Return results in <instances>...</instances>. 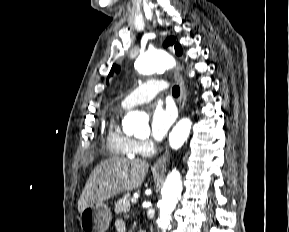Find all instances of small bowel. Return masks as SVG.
<instances>
[{
	"label": "small bowel",
	"instance_id": "c3829d8e",
	"mask_svg": "<svg viewBox=\"0 0 289 232\" xmlns=\"http://www.w3.org/2000/svg\"><path fill=\"white\" fill-rule=\"evenodd\" d=\"M115 228L117 232H126V225L122 220H117L115 222Z\"/></svg>",
	"mask_w": 289,
	"mask_h": 232
}]
</instances>
